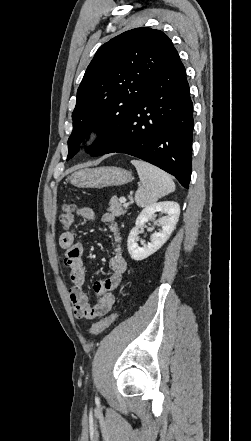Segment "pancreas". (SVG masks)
I'll return each instance as SVG.
<instances>
[{
  "label": "pancreas",
  "instance_id": "obj_1",
  "mask_svg": "<svg viewBox=\"0 0 251 441\" xmlns=\"http://www.w3.org/2000/svg\"><path fill=\"white\" fill-rule=\"evenodd\" d=\"M127 207L122 206L121 202L117 197L111 198L109 202V208L107 209L109 212H112L114 216H121L126 213Z\"/></svg>",
  "mask_w": 251,
  "mask_h": 441
}]
</instances>
